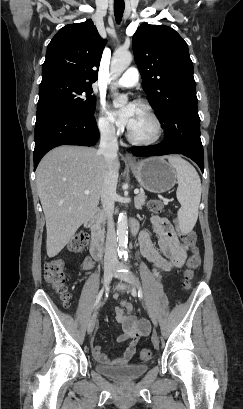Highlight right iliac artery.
<instances>
[{
    "label": "right iliac artery",
    "mask_w": 243,
    "mask_h": 409,
    "mask_svg": "<svg viewBox=\"0 0 243 409\" xmlns=\"http://www.w3.org/2000/svg\"><path fill=\"white\" fill-rule=\"evenodd\" d=\"M103 292H104V289H102V290L99 292V294H98V296H97V298H96L94 307H96L97 304L99 303V301L101 300V297H102V295H103Z\"/></svg>",
    "instance_id": "right-iliac-artery-1"
}]
</instances>
